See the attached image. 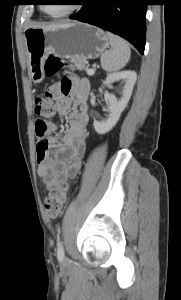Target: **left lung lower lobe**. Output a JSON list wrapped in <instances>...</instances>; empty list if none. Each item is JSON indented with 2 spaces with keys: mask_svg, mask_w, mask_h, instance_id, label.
I'll use <instances>...</instances> for the list:
<instances>
[{
  "mask_svg": "<svg viewBox=\"0 0 181 300\" xmlns=\"http://www.w3.org/2000/svg\"><path fill=\"white\" fill-rule=\"evenodd\" d=\"M71 19L90 23L128 40L143 54L146 40V0H84Z\"/></svg>",
  "mask_w": 181,
  "mask_h": 300,
  "instance_id": "obj_1",
  "label": "left lung lower lobe"
}]
</instances>
